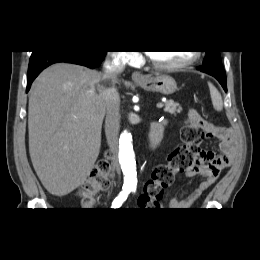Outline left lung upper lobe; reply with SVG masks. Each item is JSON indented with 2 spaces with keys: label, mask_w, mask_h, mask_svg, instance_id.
Masks as SVG:
<instances>
[{
  "label": "left lung upper lobe",
  "mask_w": 260,
  "mask_h": 260,
  "mask_svg": "<svg viewBox=\"0 0 260 260\" xmlns=\"http://www.w3.org/2000/svg\"><path fill=\"white\" fill-rule=\"evenodd\" d=\"M206 57L203 61L204 65L217 63L221 64L220 51H205Z\"/></svg>",
  "instance_id": "1"
}]
</instances>
